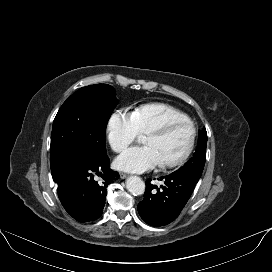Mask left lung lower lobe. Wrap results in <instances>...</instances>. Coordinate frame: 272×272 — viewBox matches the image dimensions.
I'll use <instances>...</instances> for the list:
<instances>
[{
  "label": "left lung lower lobe",
  "mask_w": 272,
  "mask_h": 272,
  "mask_svg": "<svg viewBox=\"0 0 272 272\" xmlns=\"http://www.w3.org/2000/svg\"><path fill=\"white\" fill-rule=\"evenodd\" d=\"M164 185L153 186L146 181L144 199L138 204L141 218L151 226H163L174 221L190 198L199 178L171 173L163 176Z\"/></svg>",
  "instance_id": "0a47b994"
}]
</instances>
